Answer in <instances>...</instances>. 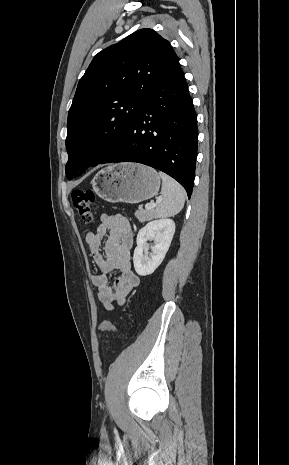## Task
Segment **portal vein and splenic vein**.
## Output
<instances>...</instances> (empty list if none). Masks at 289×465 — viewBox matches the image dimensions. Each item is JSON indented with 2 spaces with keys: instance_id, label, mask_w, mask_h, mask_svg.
<instances>
[{
  "instance_id": "portal-vein-and-splenic-vein-1",
  "label": "portal vein and splenic vein",
  "mask_w": 289,
  "mask_h": 465,
  "mask_svg": "<svg viewBox=\"0 0 289 465\" xmlns=\"http://www.w3.org/2000/svg\"><path fill=\"white\" fill-rule=\"evenodd\" d=\"M155 206H156V203L151 202L145 205V209L150 210V209H153Z\"/></svg>"
}]
</instances>
